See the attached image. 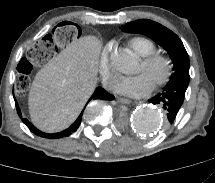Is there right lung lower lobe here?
<instances>
[{"label": "right lung lower lobe", "instance_id": "obj_1", "mask_svg": "<svg viewBox=\"0 0 215 183\" xmlns=\"http://www.w3.org/2000/svg\"><path fill=\"white\" fill-rule=\"evenodd\" d=\"M95 99L113 100L114 96L109 94L108 92H106L103 88L98 87L94 91L93 95L90 97L89 101L95 100ZM15 103H16L17 112H18L19 116L22 117L20 108H19L16 100H15ZM82 114H83V112L79 115L77 120L68 129H66L62 132H59V133H54V134H48V133L41 132L36 127H34L27 119L23 118L22 121L30 129V131L33 132L34 134L44 137V138L57 139V138L69 136L71 133L76 131L81 123Z\"/></svg>", "mask_w": 215, "mask_h": 183}]
</instances>
